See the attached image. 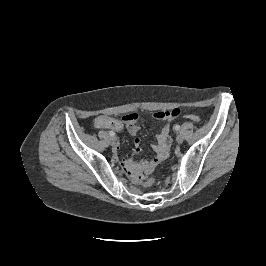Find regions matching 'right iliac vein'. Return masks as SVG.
Wrapping results in <instances>:
<instances>
[{
	"instance_id": "obj_1",
	"label": "right iliac vein",
	"mask_w": 266,
	"mask_h": 266,
	"mask_svg": "<svg viewBox=\"0 0 266 266\" xmlns=\"http://www.w3.org/2000/svg\"><path fill=\"white\" fill-rule=\"evenodd\" d=\"M116 141H117V139L115 137L110 138V144L111 145H115Z\"/></svg>"
}]
</instances>
